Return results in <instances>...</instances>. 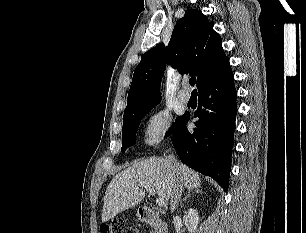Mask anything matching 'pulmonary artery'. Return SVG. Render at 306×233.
<instances>
[{"instance_id": "obj_1", "label": "pulmonary artery", "mask_w": 306, "mask_h": 233, "mask_svg": "<svg viewBox=\"0 0 306 233\" xmlns=\"http://www.w3.org/2000/svg\"><path fill=\"white\" fill-rule=\"evenodd\" d=\"M188 83L185 81L183 83V89L179 92L178 97L182 103H188L190 100V94L187 90Z\"/></svg>"}]
</instances>
